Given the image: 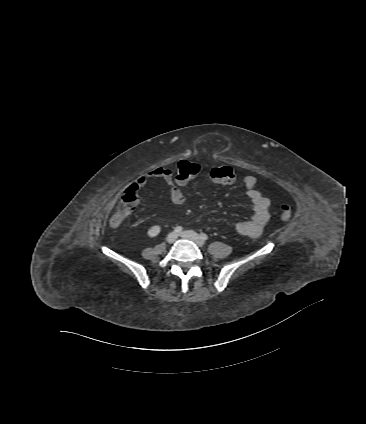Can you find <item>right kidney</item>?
<instances>
[{
    "mask_svg": "<svg viewBox=\"0 0 366 424\" xmlns=\"http://www.w3.org/2000/svg\"><path fill=\"white\" fill-rule=\"evenodd\" d=\"M160 231H161L160 226L155 225L148 229L147 234L149 237L153 238V237H156L160 233Z\"/></svg>",
    "mask_w": 366,
    "mask_h": 424,
    "instance_id": "ca27d5eb",
    "label": "right kidney"
}]
</instances>
